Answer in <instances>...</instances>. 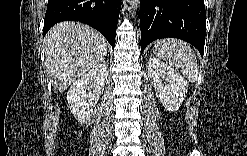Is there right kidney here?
I'll return each mask as SVG.
<instances>
[{
	"mask_svg": "<svg viewBox=\"0 0 247 156\" xmlns=\"http://www.w3.org/2000/svg\"><path fill=\"white\" fill-rule=\"evenodd\" d=\"M108 71L105 62L98 64L75 79L68 90L70 111L81 124L90 123L96 115V104L103 93Z\"/></svg>",
	"mask_w": 247,
	"mask_h": 156,
	"instance_id": "right-kidney-1",
	"label": "right kidney"
}]
</instances>
